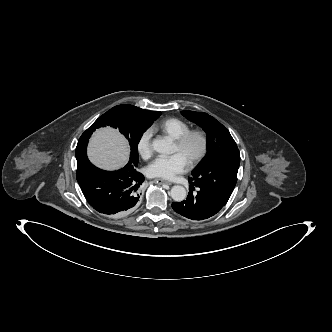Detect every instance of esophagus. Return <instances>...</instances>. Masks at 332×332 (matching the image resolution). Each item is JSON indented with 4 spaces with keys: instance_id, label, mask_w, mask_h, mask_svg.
<instances>
[{
    "instance_id": "obj_1",
    "label": "esophagus",
    "mask_w": 332,
    "mask_h": 332,
    "mask_svg": "<svg viewBox=\"0 0 332 332\" xmlns=\"http://www.w3.org/2000/svg\"><path fill=\"white\" fill-rule=\"evenodd\" d=\"M158 184H167V185H171L172 183L163 179H156L155 180Z\"/></svg>"
}]
</instances>
